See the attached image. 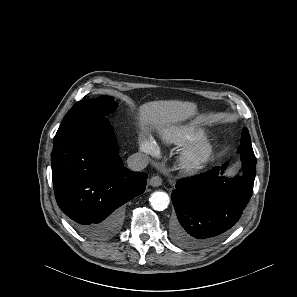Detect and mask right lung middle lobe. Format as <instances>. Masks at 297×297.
<instances>
[{
	"label": "right lung middle lobe",
	"mask_w": 297,
	"mask_h": 297,
	"mask_svg": "<svg viewBox=\"0 0 297 297\" xmlns=\"http://www.w3.org/2000/svg\"><path fill=\"white\" fill-rule=\"evenodd\" d=\"M116 107L117 103L110 96L81 100L65 115L56 135L93 123H108L106 115Z\"/></svg>",
	"instance_id": "right-lung-middle-lobe-1"
}]
</instances>
